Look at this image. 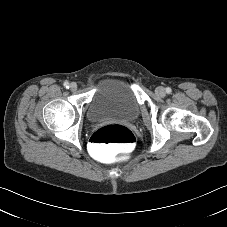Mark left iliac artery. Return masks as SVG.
<instances>
[{
  "mask_svg": "<svg viewBox=\"0 0 227 227\" xmlns=\"http://www.w3.org/2000/svg\"><path fill=\"white\" fill-rule=\"evenodd\" d=\"M172 92L171 88L167 87L166 88V93L170 94Z\"/></svg>",
  "mask_w": 227,
  "mask_h": 227,
  "instance_id": "obj_1",
  "label": "left iliac artery"
}]
</instances>
